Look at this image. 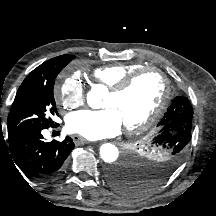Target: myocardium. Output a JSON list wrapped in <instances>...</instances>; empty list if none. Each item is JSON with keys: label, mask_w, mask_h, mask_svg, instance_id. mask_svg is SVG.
<instances>
[{"label": "myocardium", "mask_w": 216, "mask_h": 216, "mask_svg": "<svg viewBox=\"0 0 216 216\" xmlns=\"http://www.w3.org/2000/svg\"><path fill=\"white\" fill-rule=\"evenodd\" d=\"M146 72L157 73L163 82V94L156 108L143 121L132 126H124L127 134H137L149 129L164 113L171 95L170 82L162 70L157 67H141L121 79L115 86L109 88V93L114 96L121 95L127 91L133 82Z\"/></svg>", "instance_id": "obj_1"}]
</instances>
